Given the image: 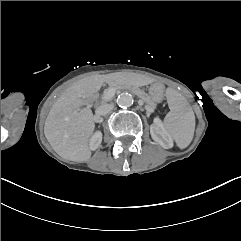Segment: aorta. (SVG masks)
<instances>
[{
  "label": "aorta",
  "mask_w": 241,
  "mask_h": 241,
  "mask_svg": "<svg viewBox=\"0 0 241 241\" xmlns=\"http://www.w3.org/2000/svg\"><path fill=\"white\" fill-rule=\"evenodd\" d=\"M133 101V97L129 93L120 94L116 100L118 106L121 108L130 107L133 104Z\"/></svg>",
  "instance_id": "762f6f07"
}]
</instances>
